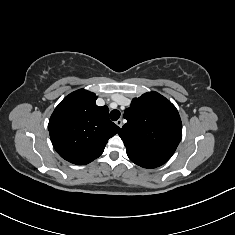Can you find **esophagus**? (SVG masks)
I'll return each mask as SVG.
<instances>
[{"instance_id": "1", "label": "esophagus", "mask_w": 235, "mask_h": 235, "mask_svg": "<svg viewBox=\"0 0 235 235\" xmlns=\"http://www.w3.org/2000/svg\"><path fill=\"white\" fill-rule=\"evenodd\" d=\"M116 124H117L120 128H122V126H123V122H122L121 119H118V120L116 121Z\"/></svg>"}]
</instances>
